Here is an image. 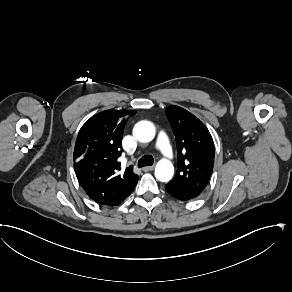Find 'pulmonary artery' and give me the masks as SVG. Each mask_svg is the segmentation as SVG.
I'll list each match as a JSON object with an SVG mask.
<instances>
[{
	"instance_id": "e3ab8cb5",
	"label": "pulmonary artery",
	"mask_w": 292,
	"mask_h": 292,
	"mask_svg": "<svg viewBox=\"0 0 292 292\" xmlns=\"http://www.w3.org/2000/svg\"><path fill=\"white\" fill-rule=\"evenodd\" d=\"M153 142L155 150L162 151V154L165 157L169 158L173 156L174 152L171 145L172 140L171 137L166 134L165 130H158Z\"/></svg>"
}]
</instances>
